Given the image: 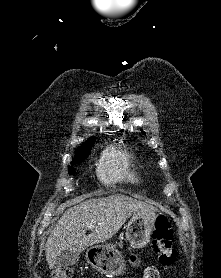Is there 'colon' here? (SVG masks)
<instances>
[{
  "instance_id": "1",
  "label": "colon",
  "mask_w": 221,
  "mask_h": 278,
  "mask_svg": "<svg viewBox=\"0 0 221 278\" xmlns=\"http://www.w3.org/2000/svg\"><path fill=\"white\" fill-rule=\"evenodd\" d=\"M173 230L165 216H158L152 233V246L159 264L163 267L172 266L177 258V251L173 246ZM150 278H158V272L154 268L147 270ZM73 269L69 266L56 267L51 278H72Z\"/></svg>"
}]
</instances>
